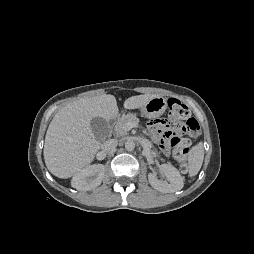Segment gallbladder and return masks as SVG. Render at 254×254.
Wrapping results in <instances>:
<instances>
[{"instance_id":"1","label":"gallbladder","mask_w":254,"mask_h":254,"mask_svg":"<svg viewBox=\"0 0 254 254\" xmlns=\"http://www.w3.org/2000/svg\"><path fill=\"white\" fill-rule=\"evenodd\" d=\"M91 128L97 140H102L108 132L107 122L101 117L91 120Z\"/></svg>"}]
</instances>
